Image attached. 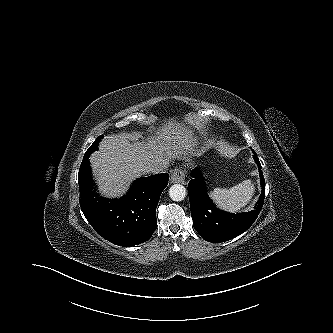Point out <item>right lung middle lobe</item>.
<instances>
[{
    "label": "right lung middle lobe",
    "instance_id": "dd1d6c3e",
    "mask_svg": "<svg viewBox=\"0 0 333 333\" xmlns=\"http://www.w3.org/2000/svg\"><path fill=\"white\" fill-rule=\"evenodd\" d=\"M102 137H103V135H101V136H99L96 140H95V142L90 146V148L86 151V153H85V155L86 156H90V154L92 153V152H94L95 150H97L98 148V143H99V141H100V139H102Z\"/></svg>",
    "mask_w": 333,
    "mask_h": 333
}]
</instances>
